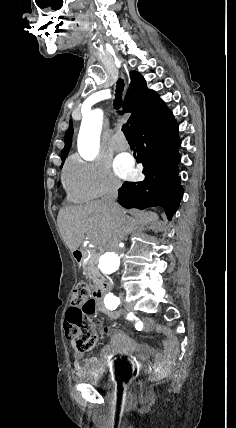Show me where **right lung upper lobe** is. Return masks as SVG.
I'll list each match as a JSON object with an SVG mask.
<instances>
[{
  "label": "right lung upper lobe",
  "mask_w": 236,
  "mask_h": 428,
  "mask_svg": "<svg viewBox=\"0 0 236 428\" xmlns=\"http://www.w3.org/2000/svg\"><path fill=\"white\" fill-rule=\"evenodd\" d=\"M130 78L131 83L125 97L124 110L125 112L132 113L128 119V123L133 130L138 124L167 107L165 103L160 100L156 92L146 87V82L139 72H130ZM72 134L73 127L70 121V126L65 134V147L61 153L62 165L71 147Z\"/></svg>",
  "instance_id": "right-lung-upper-lobe-1"
}]
</instances>
